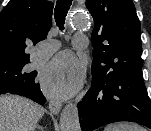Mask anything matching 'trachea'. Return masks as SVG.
<instances>
[{
	"label": "trachea",
	"mask_w": 151,
	"mask_h": 131,
	"mask_svg": "<svg viewBox=\"0 0 151 131\" xmlns=\"http://www.w3.org/2000/svg\"><path fill=\"white\" fill-rule=\"evenodd\" d=\"M73 0H57L55 7V22L60 30L64 29L65 18Z\"/></svg>",
	"instance_id": "3493384b"
}]
</instances>
